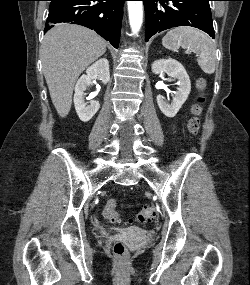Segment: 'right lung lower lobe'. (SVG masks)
<instances>
[{
    "label": "right lung lower lobe",
    "mask_w": 250,
    "mask_h": 285,
    "mask_svg": "<svg viewBox=\"0 0 250 285\" xmlns=\"http://www.w3.org/2000/svg\"><path fill=\"white\" fill-rule=\"evenodd\" d=\"M44 33L55 23L72 22L95 30L118 48L126 0H50Z\"/></svg>",
    "instance_id": "obj_1"
}]
</instances>
